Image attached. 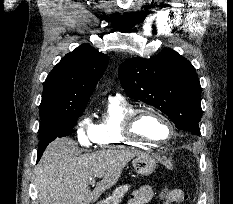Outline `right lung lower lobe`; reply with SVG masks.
Returning <instances> with one entry per match:
<instances>
[{
  "mask_svg": "<svg viewBox=\"0 0 233 204\" xmlns=\"http://www.w3.org/2000/svg\"><path fill=\"white\" fill-rule=\"evenodd\" d=\"M47 147V145H43V146H39L38 148V154H37V162L39 161V159L41 158L45 148Z\"/></svg>",
  "mask_w": 233,
  "mask_h": 204,
  "instance_id": "right-lung-lower-lobe-1",
  "label": "right lung lower lobe"
}]
</instances>
